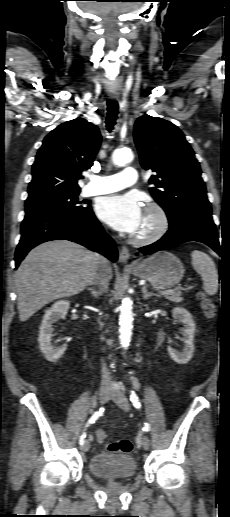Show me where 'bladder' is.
<instances>
[{"mask_svg": "<svg viewBox=\"0 0 230 517\" xmlns=\"http://www.w3.org/2000/svg\"><path fill=\"white\" fill-rule=\"evenodd\" d=\"M136 469L134 458L127 453H97L88 465L92 475L107 480L130 478Z\"/></svg>", "mask_w": 230, "mask_h": 517, "instance_id": "31cf9c89", "label": "bladder"}]
</instances>
